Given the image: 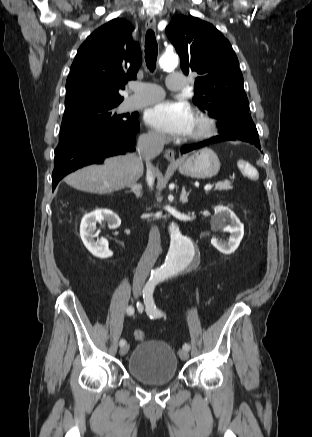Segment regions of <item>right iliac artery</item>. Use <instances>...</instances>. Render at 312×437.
Here are the masks:
<instances>
[{
	"label": "right iliac artery",
	"mask_w": 312,
	"mask_h": 437,
	"mask_svg": "<svg viewBox=\"0 0 312 437\" xmlns=\"http://www.w3.org/2000/svg\"><path fill=\"white\" fill-rule=\"evenodd\" d=\"M137 309H138V311H141V312L143 311V305L140 302H137ZM134 311L135 310L132 306H129L127 308V314L130 316L134 314ZM125 343H126V341L122 339V340H120L119 345L123 346Z\"/></svg>",
	"instance_id": "obj_1"
}]
</instances>
